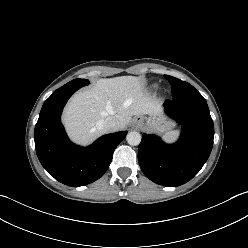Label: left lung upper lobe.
Returning a JSON list of instances; mask_svg holds the SVG:
<instances>
[{
  "label": "left lung upper lobe",
  "instance_id": "1",
  "mask_svg": "<svg viewBox=\"0 0 248 248\" xmlns=\"http://www.w3.org/2000/svg\"><path fill=\"white\" fill-rule=\"evenodd\" d=\"M165 78L170 82L172 86L173 99L201 95L192 85L185 81H182L169 75H165Z\"/></svg>",
  "mask_w": 248,
  "mask_h": 248
}]
</instances>
